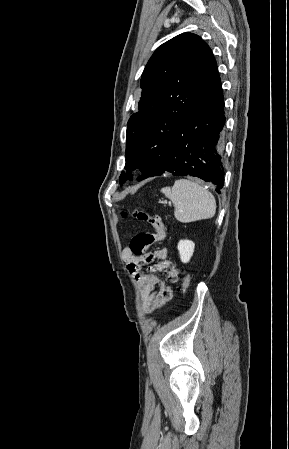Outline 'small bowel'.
I'll return each instance as SVG.
<instances>
[{"label": "small bowel", "instance_id": "1", "mask_svg": "<svg viewBox=\"0 0 289 449\" xmlns=\"http://www.w3.org/2000/svg\"><path fill=\"white\" fill-rule=\"evenodd\" d=\"M166 256V249L157 250L147 256L134 255L129 246L122 251V259L140 285L142 308L145 313H152L174 296L173 288L155 275V272H163L168 283L178 282L180 272L173 262L166 259Z\"/></svg>", "mask_w": 289, "mask_h": 449}]
</instances>
